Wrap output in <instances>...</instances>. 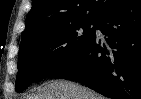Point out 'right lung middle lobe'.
<instances>
[{"label":"right lung middle lobe","instance_id":"obj_1","mask_svg":"<svg viewBox=\"0 0 141 99\" xmlns=\"http://www.w3.org/2000/svg\"><path fill=\"white\" fill-rule=\"evenodd\" d=\"M95 29L96 21L80 22L20 44L16 91L67 66L92 40Z\"/></svg>","mask_w":141,"mask_h":99}]
</instances>
